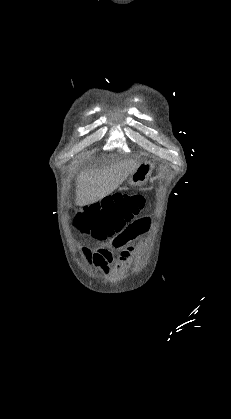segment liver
Returning <instances> with one entry per match:
<instances>
[{
  "mask_svg": "<svg viewBox=\"0 0 231 419\" xmlns=\"http://www.w3.org/2000/svg\"><path fill=\"white\" fill-rule=\"evenodd\" d=\"M139 164L137 160L128 159L80 174L77 178L76 204L90 205L110 195Z\"/></svg>",
  "mask_w": 231,
  "mask_h": 419,
  "instance_id": "liver-1",
  "label": "liver"
}]
</instances>
